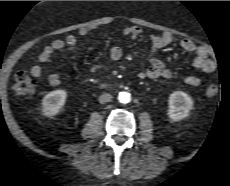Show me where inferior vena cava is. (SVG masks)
<instances>
[{"label": "inferior vena cava", "mask_w": 230, "mask_h": 186, "mask_svg": "<svg viewBox=\"0 0 230 186\" xmlns=\"http://www.w3.org/2000/svg\"><path fill=\"white\" fill-rule=\"evenodd\" d=\"M112 95L111 94H109V93H104V94H102L101 96H99V102L101 103V104H104V103H107V102H110V101H112Z\"/></svg>", "instance_id": "602c4592"}]
</instances>
